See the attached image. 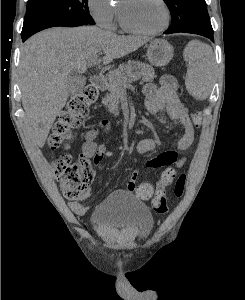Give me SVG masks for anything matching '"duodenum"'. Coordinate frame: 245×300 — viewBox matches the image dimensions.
I'll return each mask as SVG.
<instances>
[{
  "mask_svg": "<svg viewBox=\"0 0 245 300\" xmlns=\"http://www.w3.org/2000/svg\"><path fill=\"white\" fill-rule=\"evenodd\" d=\"M91 84L97 90H103L105 88V79L101 75H94L91 77Z\"/></svg>",
  "mask_w": 245,
  "mask_h": 300,
  "instance_id": "obj_1",
  "label": "duodenum"
}]
</instances>
